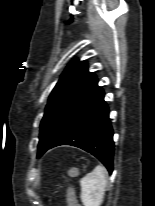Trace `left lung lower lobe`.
<instances>
[{
	"label": "left lung lower lobe",
	"instance_id": "obj_1",
	"mask_svg": "<svg viewBox=\"0 0 155 206\" xmlns=\"http://www.w3.org/2000/svg\"><path fill=\"white\" fill-rule=\"evenodd\" d=\"M60 145L75 146L91 153L106 166L109 173H112L113 130L104 95L90 106L73 126L48 149ZM42 154H38L37 157H41Z\"/></svg>",
	"mask_w": 155,
	"mask_h": 206
}]
</instances>
